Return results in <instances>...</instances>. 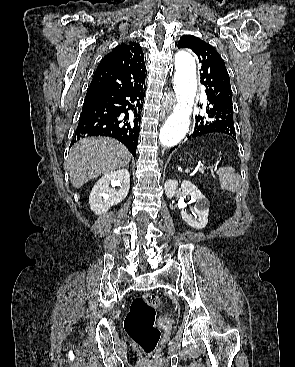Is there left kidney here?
I'll list each match as a JSON object with an SVG mask.
<instances>
[{
    "mask_svg": "<svg viewBox=\"0 0 295 367\" xmlns=\"http://www.w3.org/2000/svg\"><path fill=\"white\" fill-rule=\"evenodd\" d=\"M165 193L168 198H173L178 187V181L169 179L165 182ZM182 193L190 196L195 202L194 217L189 215L186 210H181L182 219L195 229H202L207 225L210 203L200 190L190 181L184 180L181 183Z\"/></svg>",
    "mask_w": 295,
    "mask_h": 367,
    "instance_id": "1",
    "label": "left kidney"
}]
</instances>
